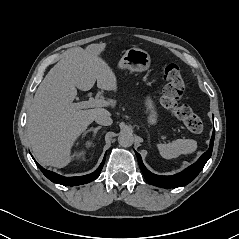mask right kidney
I'll use <instances>...</instances> for the list:
<instances>
[{
    "instance_id": "obj_1",
    "label": "right kidney",
    "mask_w": 239,
    "mask_h": 239,
    "mask_svg": "<svg viewBox=\"0 0 239 239\" xmlns=\"http://www.w3.org/2000/svg\"><path fill=\"white\" fill-rule=\"evenodd\" d=\"M85 154L86 152L82 150V151L76 152L74 156L79 159V158H84Z\"/></svg>"
}]
</instances>
